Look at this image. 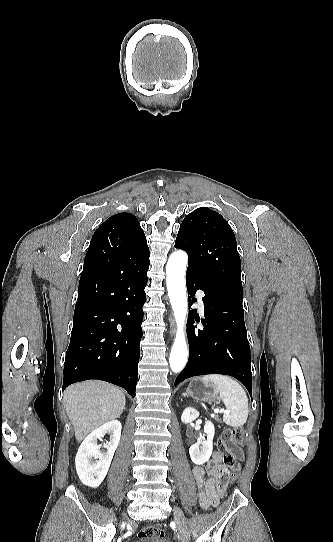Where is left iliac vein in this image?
Masks as SVG:
<instances>
[{
	"instance_id": "1",
	"label": "left iliac vein",
	"mask_w": 333,
	"mask_h": 542,
	"mask_svg": "<svg viewBox=\"0 0 333 542\" xmlns=\"http://www.w3.org/2000/svg\"><path fill=\"white\" fill-rule=\"evenodd\" d=\"M173 513H174V521L177 524V529L179 533V537L182 542H189V530L186 523V519L184 516L183 511L177 507H173Z\"/></svg>"
}]
</instances>
